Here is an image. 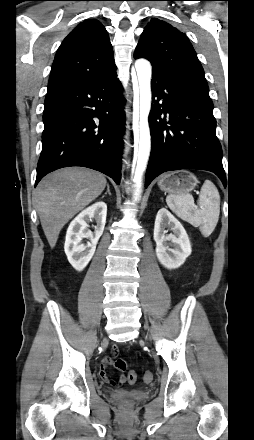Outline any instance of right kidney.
<instances>
[{"mask_svg":"<svg viewBox=\"0 0 254 440\" xmlns=\"http://www.w3.org/2000/svg\"><path fill=\"white\" fill-rule=\"evenodd\" d=\"M107 215L106 203L99 201L83 210L70 223L64 244L68 261L77 270L82 271L92 259L96 244L103 234ZM94 218L97 225L94 234L88 229V222ZM83 238H89L90 243L82 244Z\"/></svg>","mask_w":254,"mask_h":440,"instance_id":"obj_1","label":"right kidney"}]
</instances>
